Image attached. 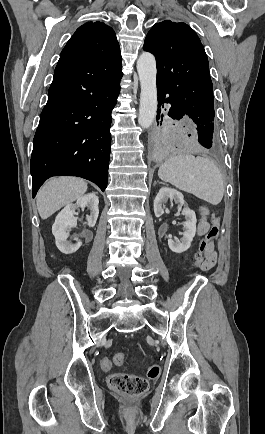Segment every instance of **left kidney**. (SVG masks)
Listing matches in <instances>:
<instances>
[{
  "label": "left kidney",
  "mask_w": 265,
  "mask_h": 434,
  "mask_svg": "<svg viewBox=\"0 0 265 434\" xmlns=\"http://www.w3.org/2000/svg\"><path fill=\"white\" fill-rule=\"evenodd\" d=\"M168 200L179 204L180 208L178 212H182L183 216L186 218V222H184L185 232H183V238H181L180 242L168 240L170 250L176 252V254H182V252H186V250L190 248L191 242H193V238L196 234V214L193 210L187 208V204H185L184 196L181 192H177L174 188H161L154 200V214L156 218L163 216V206ZM182 206H185L183 210H181Z\"/></svg>",
  "instance_id": "5707ae66"
}]
</instances>
